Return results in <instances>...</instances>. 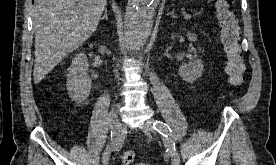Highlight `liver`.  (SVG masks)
Instances as JSON below:
<instances>
[{
  "label": "liver",
  "mask_w": 276,
  "mask_h": 165,
  "mask_svg": "<svg viewBox=\"0 0 276 165\" xmlns=\"http://www.w3.org/2000/svg\"><path fill=\"white\" fill-rule=\"evenodd\" d=\"M106 5L107 0H35V84L92 35Z\"/></svg>",
  "instance_id": "1"
}]
</instances>
